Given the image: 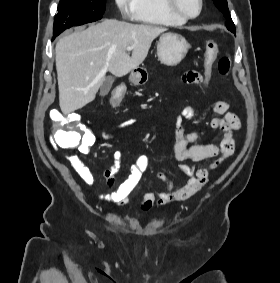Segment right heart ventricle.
Segmentation results:
<instances>
[{"mask_svg":"<svg viewBox=\"0 0 280 283\" xmlns=\"http://www.w3.org/2000/svg\"><path fill=\"white\" fill-rule=\"evenodd\" d=\"M132 17L150 25L180 26L186 22L168 9L166 0H135Z\"/></svg>","mask_w":280,"mask_h":283,"instance_id":"1","label":"right heart ventricle"}]
</instances>
